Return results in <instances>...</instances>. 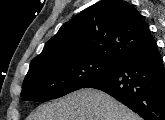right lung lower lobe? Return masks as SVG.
<instances>
[{
    "label": "right lung lower lobe",
    "mask_w": 165,
    "mask_h": 120,
    "mask_svg": "<svg viewBox=\"0 0 165 120\" xmlns=\"http://www.w3.org/2000/svg\"><path fill=\"white\" fill-rule=\"evenodd\" d=\"M83 88L111 95L145 120H165V68L155 39L132 49Z\"/></svg>",
    "instance_id": "1"
}]
</instances>
